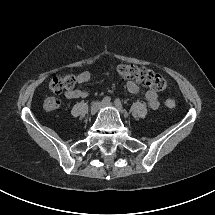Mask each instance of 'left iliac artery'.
Listing matches in <instances>:
<instances>
[{
  "label": "left iliac artery",
  "instance_id": "obj_1",
  "mask_svg": "<svg viewBox=\"0 0 215 215\" xmlns=\"http://www.w3.org/2000/svg\"><path fill=\"white\" fill-rule=\"evenodd\" d=\"M115 105L118 109L123 110V106H122L120 99L115 100Z\"/></svg>",
  "mask_w": 215,
  "mask_h": 215
}]
</instances>
